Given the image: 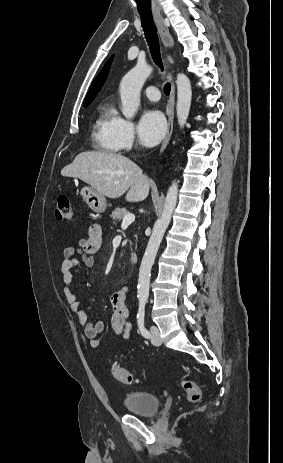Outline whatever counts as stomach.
I'll return each instance as SVG.
<instances>
[{"label": "stomach", "instance_id": "stomach-1", "mask_svg": "<svg viewBox=\"0 0 283 463\" xmlns=\"http://www.w3.org/2000/svg\"><path fill=\"white\" fill-rule=\"evenodd\" d=\"M80 194L91 210L96 213H103L107 207V201L103 194L92 186H84Z\"/></svg>", "mask_w": 283, "mask_h": 463}]
</instances>
